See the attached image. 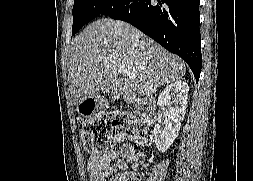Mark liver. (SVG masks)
Wrapping results in <instances>:
<instances>
[{"label": "liver", "instance_id": "1", "mask_svg": "<svg viewBox=\"0 0 253 181\" xmlns=\"http://www.w3.org/2000/svg\"><path fill=\"white\" fill-rule=\"evenodd\" d=\"M135 76L118 78V66ZM69 90L77 106L102 91L136 99L179 81L185 63L141 31L123 21L98 19L72 41L68 52Z\"/></svg>", "mask_w": 253, "mask_h": 181}]
</instances>
